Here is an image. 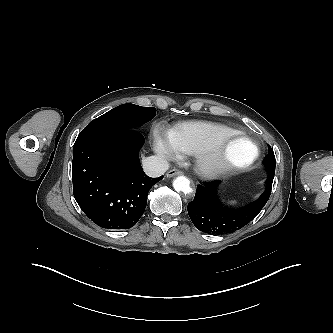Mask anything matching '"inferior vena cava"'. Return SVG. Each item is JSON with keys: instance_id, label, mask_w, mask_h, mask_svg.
Wrapping results in <instances>:
<instances>
[{"instance_id": "obj_1", "label": "inferior vena cava", "mask_w": 333, "mask_h": 333, "mask_svg": "<svg viewBox=\"0 0 333 333\" xmlns=\"http://www.w3.org/2000/svg\"><path fill=\"white\" fill-rule=\"evenodd\" d=\"M142 166L149 177H159L169 169V163L158 156L144 158Z\"/></svg>"}]
</instances>
